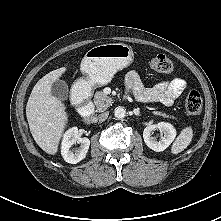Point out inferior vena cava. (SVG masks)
Returning <instances> with one entry per match:
<instances>
[{
    "label": "inferior vena cava",
    "mask_w": 221,
    "mask_h": 221,
    "mask_svg": "<svg viewBox=\"0 0 221 221\" xmlns=\"http://www.w3.org/2000/svg\"><path fill=\"white\" fill-rule=\"evenodd\" d=\"M107 117H108V113L105 112V113H102V114H100V115L98 116V120H99L100 122H102V121L106 120Z\"/></svg>",
    "instance_id": "inferior-vena-cava-1"
}]
</instances>
